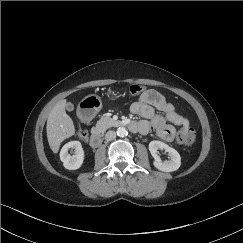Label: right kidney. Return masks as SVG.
<instances>
[{"instance_id": "obj_1", "label": "right kidney", "mask_w": 243, "mask_h": 243, "mask_svg": "<svg viewBox=\"0 0 243 243\" xmlns=\"http://www.w3.org/2000/svg\"><path fill=\"white\" fill-rule=\"evenodd\" d=\"M69 149H74L75 154L71 156L68 153ZM84 156V150L79 141L68 142L60 151V159L63 162V166L68 170L79 169L83 164Z\"/></svg>"}]
</instances>
